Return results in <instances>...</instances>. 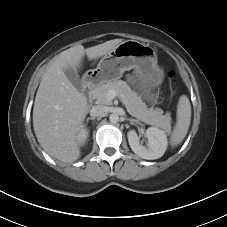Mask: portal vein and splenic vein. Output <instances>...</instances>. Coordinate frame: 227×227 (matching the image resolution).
I'll return each instance as SVG.
<instances>
[{
	"label": "portal vein and splenic vein",
	"instance_id": "portal-vein-and-splenic-vein-1",
	"mask_svg": "<svg viewBox=\"0 0 227 227\" xmlns=\"http://www.w3.org/2000/svg\"><path fill=\"white\" fill-rule=\"evenodd\" d=\"M117 96H119L121 98V100L123 101V103H125L123 95L119 94L117 91L110 89L107 93V97L110 100H113Z\"/></svg>",
	"mask_w": 227,
	"mask_h": 227
}]
</instances>
